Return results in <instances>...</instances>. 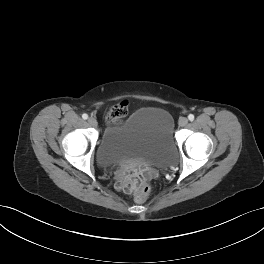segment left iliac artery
I'll use <instances>...</instances> for the list:
<instances>
[{"label":"left iliac artery","mask_w":264,"mask_h":264,"mask_svg":"<svg viewBox=\"0 0 264 264\" xmlns=\"http://www.w3.org/2000/svg\"><path fill=\"white\" fill-rule=\"evenodd\" d=\"M188 119H189L190 121H193V120H194V115H193V114H189V115H188Z\"/></svg>","instance_id":"44dca946"}]
</instances>
